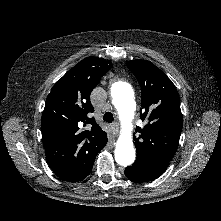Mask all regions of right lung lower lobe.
<instances>
[{"instance_id": "98d812e1", "label": "right lung lower lobe", "mask_w": 221, "mask_h": 221, "mask_svg": "<svg viewBox=\"0 0 221 221\" xmlns=\"http://www.w3.org/2000/svg\"><path fill=\"white\" fill-rule=\"evenodd\" d=\"M93 164H94V162L91 164V166L89 167V169H88V171H87V173H86V175H85V177L84 178H86L89 174H90V172H91V170H92V168H93ZM83 178V179H84ZM82 179V180H83Z\"/></svg>"}]
</instances>
